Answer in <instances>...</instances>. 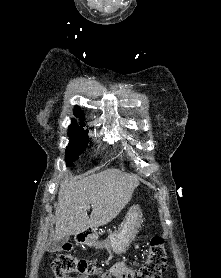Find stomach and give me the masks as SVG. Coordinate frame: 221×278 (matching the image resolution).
<instances>
[{
  "mask_svg": "<svg viewBox=\"0 0 221 278\" xmlns=\"http://www.w3.org/2000/svg\"><path fill=\"white\" fill-rule=\"evenodd\" d=\"M142 219V212L139 205H133L129 208L120 230L109 235L107 241L101 248H106L114 251L116 254H122L130 246L134 240ZM77 241L87 244L89 246H96V239L94 236H86L84 239Z\"/></svg>",
  "mask_w": 221,
  "mask_h": 278,
  "instance_id": "0dacf381",
  "label": "stomach"
}]
</instances>
